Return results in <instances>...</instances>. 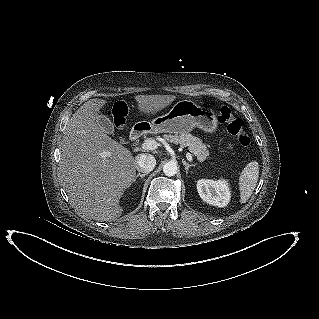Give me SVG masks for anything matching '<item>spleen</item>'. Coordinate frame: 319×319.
<instances>
[{"instance_id": "obj_1", "label": "spleen", "mask_w": 319, "mask_h": 319, "mask_svg": "<svg viewBox=\"0 0 319 319\" xmlns=\"http://www.w3.org/2000/svg\"><path fill=\"white\" fill-rule=\"evenodd\" d=\"M259 177L257 161L249 162L239 177L240 202L246 203L256 188Z\"/></svg>"}]
</instances>
